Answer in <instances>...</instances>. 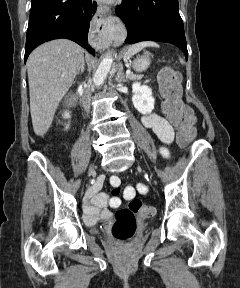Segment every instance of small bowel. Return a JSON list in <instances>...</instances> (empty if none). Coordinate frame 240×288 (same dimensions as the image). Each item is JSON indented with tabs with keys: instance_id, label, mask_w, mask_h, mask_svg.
I'll list each match as a JSON object with an SVG mask.
<instances>
[{
	"instance_id": "small-bowel-1",
	"label": "small bowel",
	"mask_w": 240,
	"mask_h": 288,
	"mask_svg": "<svg viewBox=\"0 0 240 288\" xmlns=\"http://www.w3.org/2000/svg\"><path fill=\"white\" fill-rule=\"evenodd\" d=\"M142 124L150 129L164 144H169L173 141L174 131L170 123L158 114L152 113L142 116ZM161 153L165 158L169 157L167 149L162 148ZM110 182L113 185L112 197H108L105 192L100 189L103 185V178H99L96 183L88 190L84 204V218L88 224H95L101 218H109L111 216L108 206L117 208L121 204L120 194V179L118 176H112ZM136 189L139 193L145 194L148 188L138 183ZM135 189L132 186L126 187L124 197L129 199L134 196Z\"/></svg>"
}]
</instances>
